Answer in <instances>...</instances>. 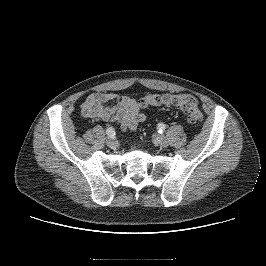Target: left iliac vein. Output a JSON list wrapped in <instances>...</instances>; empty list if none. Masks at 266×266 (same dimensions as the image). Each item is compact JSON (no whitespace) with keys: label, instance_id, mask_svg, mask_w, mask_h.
<instances>
[{"label":"left iliac vein","instance_id":"1","mask_svg":"<svg viewBox=\"0 0 266 266\" xmlns=\"http://www.w3.org/2000/svg\"><path fill=\"white\" fill-rule=\"evenodd\" d=\"M153 141L156 145L160 146V147H167L168 146V142L166 140V138L160 134H154L153 135Z\"/></svg>","mask_w":266,"mask_h":266}]
</instances>
